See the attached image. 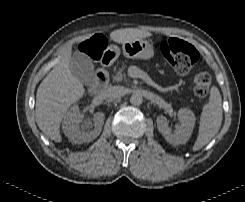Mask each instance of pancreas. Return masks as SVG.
Instances as JSON below:
<instances>
[{"mask_svg":"<svg viewBox=\"0 0 245 202\" xmlns=\"http://www.w3.org/2000/svg\"><path fill=\"white\" fill-rule=\"evenodd\" d=\"M125 66H123L122 68H120L115 75H113V80L114 81H123L126 80V75L124 72Z\"/></svg>","mask_w":245,"mask_h":202,"instance_id":"pancreas-1","label":"pancreas"}]
</instances>
